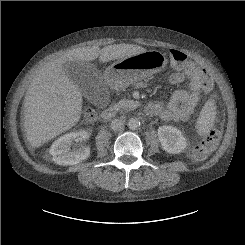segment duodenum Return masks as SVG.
I'll list each match as a JSON object with an SVG mask.
<instances>
[{
    "label": "duodenum",
    "mask_w": 245,
    "mask_h": 245,
    "mask_svg": "<svg viewBox=\"0 0 245 245\" xmlns=\"http://www.w3.org/2000/svg\"><path fill=\"white\" fill-rule=\"evenodd\" d=\"M108 83L110 85H114L115 80L109 79ZM152 108H153L152 105L148 106V109H152ZM116 115H117L116 111H114L112 109H104L103 112H102V118L104 120H112V119H114L116 117Z\"/></svg>",
    "instance_id": "duodenum-1"
}]
</instances>
